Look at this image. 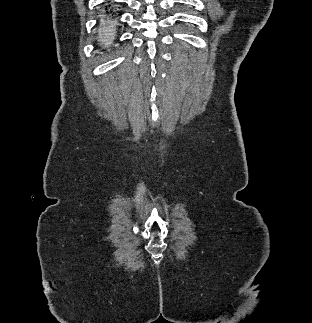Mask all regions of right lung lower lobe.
Wrapping results in <instances>:
<instances>
[{"instance_id":"obj_1","label":"right lung lower lobe","mask_w":312,"mask_h":323,"mask_svg":"<svg viewBox=\"0 0 312 323\" xmlns=\"http://www.w3.org/2000/svg\"><path fill=\"white\" fill-rule=\"evenodd\" d=\"M110 1L111 0L101 4L103 5L102 9L105 10V13L102 14V18L99 23L100 33L102 35L100 41L101 46H99V48L110 45L112 41V32L117 27V21L115 19L119 16V14L116 10L120 8L119 5H121V3Z\"/></svg>"}]
</instances>
